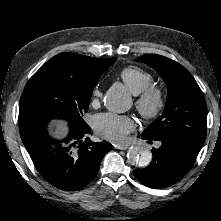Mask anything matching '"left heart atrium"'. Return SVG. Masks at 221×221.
Here are the masks:
<instances>
[{
    "label": "left heart atrium",
    "instance_id": "39dd6f15",
    "mask_svg": "<svg viewBox=\"0 0 221 221\" xmlns=\"http://www.w3.org/2000/svg\"><path fill=\"white\" fill-rule=\"evenodd\" d=\"M93 126L101 137L114 143H122L134 130L135 123L131 117L126 115L101 113L95 116Z\"/></svg>",
    "mask_w": 221,
    "mask_h": 221
}]
</instances>
